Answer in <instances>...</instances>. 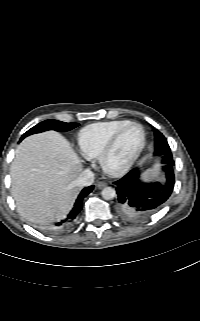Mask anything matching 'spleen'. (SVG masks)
<instances>
[{"mask_svg":"<svg viewBox=\"0 0 200 321\" xmlns=\"http://www.w3.org/2000/svg\"><path fill=\"white\" fill-rule=\"evenodd\" d=\"M160 164L155 163L153 167L147 169L142 175L141 179L144 181H150L152 178H157L159 176Z\"/></svg>","mask_w":200,"mask_h":321,"instance_id":"3e777b00","label":"spleen"}]
</instances>
